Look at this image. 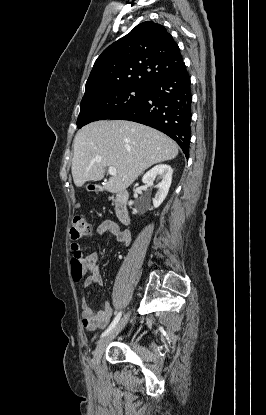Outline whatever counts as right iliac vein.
I'll use <instances>...</instances> for the list:
<instances>
[{
    "mask_svg": "<svg viewBox=\"0 0 266 415\" xmlns=\"http://www.w3.org/2000/svg\"><path fill=\"white\" fill-rule=\"evenodd\" d=\"M129 313H127L126 315H124V317L121 319V321L105 336H103L97 343L95 352H94V357H93V364L94 366H98L101 360V357L107 347V345L109 344V342L114 339L120 332L121 330L125 327V325L128 322L129 319Z\"/></svg>",
    "mask_w": 266,
    "mask_h": 415,
    "instance_id": "obj_1",
    "label": "right iliac vein"
}]
</instances>
